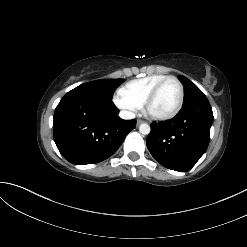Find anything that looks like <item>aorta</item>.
<instances>
[{
  "instance_id": "obj_1",
  "label": "aorta",
  "mask_w": 247,
  "mask_h": 247,
  "mask_svg": "<svg viewBox=\"0 0 247 247\" xmlns=\"http://www.w3.org/2000/svg\"><path fill=\"white\" fill-rule=\"evenodd\" d=\"M139 131L140 133H142L143 135H148L151 131V128L148 124L143 123L139 126Z\"/></svg>"
}]
</instances>
